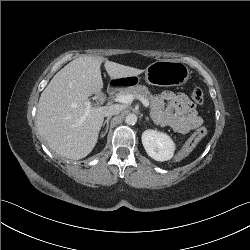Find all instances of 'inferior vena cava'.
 Returning a JSON list of instances; mask_svg holds the SVG:
<instances>
[{
    "label": "inferior vena cava",
    "mask_w": 250,
    "mask_h": 250,
    "mask_svg": "<svg viewBox=\"0 0 250 250\" xmlns=\"http://www.w3.org/2000/svg\"><path fill=\"white\" fill-rule=\"evenodd\" d=\"M121 110H122V107L119 105H110L106 108L104 115L107 117H111L113 115L119 114Z\"/></svg>",
    "instance_id": "1"
}]
</instances>
